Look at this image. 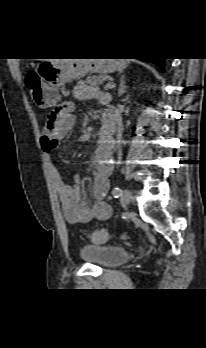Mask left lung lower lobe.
I'll use <instances>...</instances> for the list:
<instances>
[{
    "instance_id": "0a47b994",
    "label": "left lung lower lobe",
    "mask_w": 206,
    "mask_h": 348,
    "mask_svg": "<svg viewBox=\"0 0 206 348\" xmlns=\"http://www.w3.org/2000/svg\"><path fill=\"white\" fill-rule=\"evenodd\" d=\"M144 61L152 62L158 65L162 70H164V59L163 58H150V59H141Z\"/></svg>"
}]
</instances>
